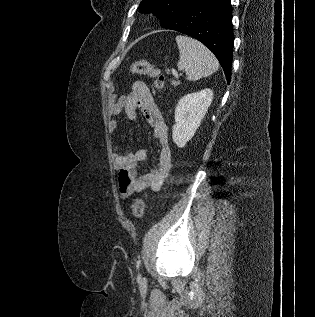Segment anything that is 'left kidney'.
I'll use <instances>...</instances> for the list:
<instances>
[{"instance_id":"obj_1","label":"left kidney","mask_w":315,"mask_h":317,"mask_svg":"<svg viewBox=\"0 0 315 317\" xmlns=\"http://www.w3.org/2000/svg\"><path fill=\"white\" fill-rule=\"evenodd\" d=\"M213 99L210 89L182 97L175 108V122L172 130L173 142L180 148L191 140L200 126Z\"/></svg>"}]
</instances>
